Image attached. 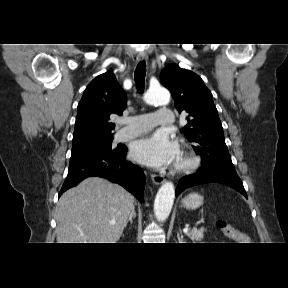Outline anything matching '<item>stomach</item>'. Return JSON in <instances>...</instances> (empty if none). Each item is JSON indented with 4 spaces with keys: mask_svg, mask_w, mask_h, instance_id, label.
<instances>
[{
    "mask_svg": "<svg viewBox=\"0 0 288 288\" xmlns=\"http://www.w3.org/2000/svg\"><path fill=\"white\" fill-rule=\"evenodd\" d=\"M203 204V197L198 193H191L182 200V205L186 209H197Z\"/></svg>",
    "mask_w": 288,
    "mask_h": 288,
    "instance_id": "obj_1",
    "label": "stomach"
}]
</instances>
